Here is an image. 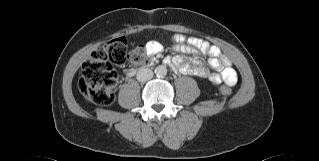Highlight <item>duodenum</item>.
<instances>
[{"label":"duodenum","instance_id":"obj_1","mask_svg":"<svg viewBox=\"0 0 319 161\" xmlns=\"http://www.w3.org/2000/svg\"><path fill=\"white\" fill-rule=\"evenodd\" d=\"M135 72H136L135 70H129V71L127 72V74H128V75H133Z\"/></svg>","mask_w":319,"mask_h":161}]
</instances>
